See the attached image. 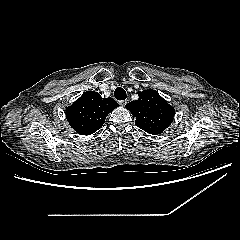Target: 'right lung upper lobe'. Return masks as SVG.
Masks as SVG:
<instances>
[{"instance_id":"cb5924a9","label":"right lung upper lobe","mask_w":240,"mask_h":240,"mask_svg":"<svg viewBox=\"0 0 240 240\" xmlns=\"http://www.w3.org/2000/svg\"><path fill=\"white\" fill-rule=\"evenodd\" d=\"M119 104L112 98H102L94 91H87L66 109L70 126L81 135H90L100 129L106 116Z\"/></svg>"}]
</instances>
